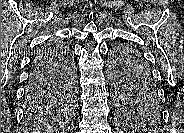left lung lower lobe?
Here are the masks:
<instances>
[{"label": "left lung lower lobe", "instance_id": "1", "mask_svg": "<svg viewBox=\"0 0 184 133\" xmlns=\"http://www.w3.org/2000/svg\"><path fill=\"white\" fill-rule=\"evenodd\" d=\"M134 86L140 94H151V92H155V89H153V87H151L150 85L146 84L144 81H137L135 82Z\"/></svg>", "mask_w": 184, "mask_h": 133}]
</instances>
